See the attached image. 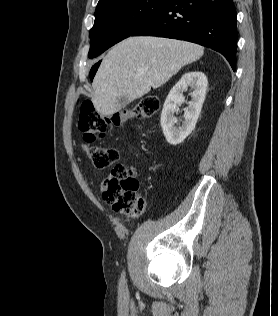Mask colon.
<instances>
[{
  "label": "colon",
  "instance_id": "1",
  "mask_svg": "<svg viewBox=\"0 0 278 316\" xmlns=\"http://www.w3.org/2000/svg\"><path fill=\"white\" fill-rule=\"evenodd\" d=\"M160 107L156 96H145L135 107L111 117L100 115L89 100L80 105L78 126L86 142L85 150L93 165L99 169L113 166L119 159V150L115 147L94 146L97 137L105 136L115 126H121L129 120L152 117ZM103 199L118 212L129 217H137L145 209L146 202L139 193V181L131 168L115 165L101 185Z\"/></svg>",
  "mask_w": 278,
  "mask_h": 316
}]
</instances>
